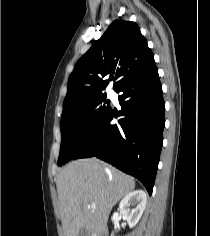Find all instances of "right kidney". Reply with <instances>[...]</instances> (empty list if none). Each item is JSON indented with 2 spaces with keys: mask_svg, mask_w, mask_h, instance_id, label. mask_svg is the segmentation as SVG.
I'll list each match as a JSON object with an SVG mask.
<instances>
[{
  "mask_svg": "<svg viewBox=\"0 0 210 236\" xmlns=\"http://www.w3.org/2000/svg\"><path fill=\"white\" fill-rule=\"evenodd\" d=\"M146 203L147 194L143 190L132 191L121 200L119 213L127 220L130 228H133L140 220Z\"/></svg>",
  "mask_w": 210,
  "mask_h": 236,
  "instance_id": "right-kidney-1",
  "label": "right kidney"
}]
</instances>
